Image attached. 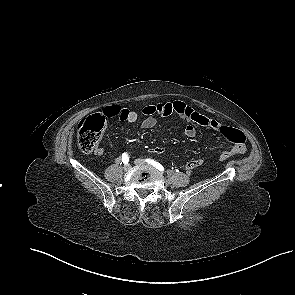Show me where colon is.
I'll use <instances>...</instances> for the list:
<instances>
[{
  "label": "colon",
  "instance_id": "colon-1",
  "mask_svg": "<svg viewBox=\"0 0 295 295\" xmlns=\"http://www.w3.org/2000/svg\"><path fill=\"white\" fill-rule=\"evenodd\" d=\"M105 127L104 117L100 114L92 115L83 119L78 124L77 140L79 148L86 153L92 152L97 146ZM224 136L233 144L230 151L220 154L221 160H227L233 156L241 155L245 151V135L238 129L226 127L223 129ZM154 153H161L162 148H153Z\"/></svg>",
  "mask_w": 295,
  "mask_h": 295
}]
</instances>
